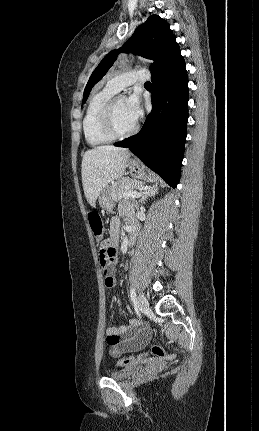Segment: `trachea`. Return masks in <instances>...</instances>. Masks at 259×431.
<instances>
[{"label":"trachea","mask_w":259,"mask_h":431,"mask_svg":"<svg viewBox=\"0 0 259 431\" xmlns=\"http://www.w3.org/2000/svg\"><path fill=\"white\" fill-rule=\"evenodd\" d=\"M145 85H151V83L150 82H146Z\"/></svg>","instance_id":"3493384b"}]
</instances>
